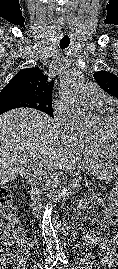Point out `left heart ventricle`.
Returning <instances> with one entry per match:
<instances>
[{"mask_svg":"<svg viewBox=\"0 0 118 269\" xmlns=\"http://www.w3.org/2000/svg\"><path fill=\"white\" fill-rule=\"evenodd\" d=\"M96 132H106L111 136L113 140L118 141V118H116L109 126H107L102 120H100L96 127Z\"/></svg>","mask_w":118,"mask_h":269,"instance_id":"left-heart-ventricle-1","label":"left heart ventricle"}]
</instances>
